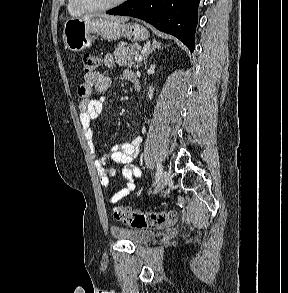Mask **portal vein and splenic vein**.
I'll return each instance as SVG.
<instances>
[{"mask_svg":"<svg viewBox=\"0 0 288 293\" xmlns=\"http://www.w3.org/2000/svg\"><path fill=\"white\" fill-rule=\"evenodd\" d=\"M143 60V57L141 55L135 56V61L141 62Z\"/></svg>","mask_w":288,"mask_h":293,"instance_id":"18ae733b","label":"portal vein and splenic vein"}]
</instances>
